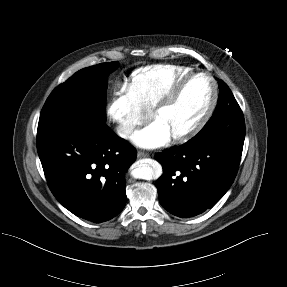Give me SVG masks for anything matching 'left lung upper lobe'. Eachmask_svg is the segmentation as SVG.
Wrapping results in <instances>:
<instances>
[{
	"label": "left lung upper lobe",
	"mask_w": 287,
	"mask_h": 287,
	"mask_svg": "<svg viewBox=\"0 0 287 287\" xmlns=\"http://www.w3.org/2000/svg\"><path fill=\"white\" fill-rule=\"evenodd\" d=\"M217 107L203 129L191 140L204 144L226 143L243 147L245 123L243 113L229 87L219 80Z\"/></svg>",
	"instance_id": "left-lung-upper-lobe-1"
}]
</instances>
